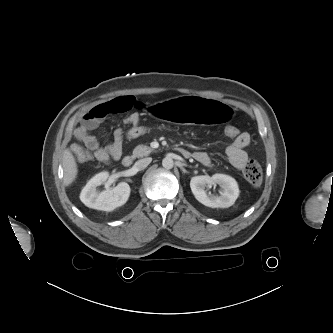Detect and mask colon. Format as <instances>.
I'll use <instances>...</instances> for the list:
<instances>
[{"mask_svg":"<svg viewBox=\"0 0 333 333\" xmlns=\"http://www.w3.org/2000/svg\"><path fill=\"white\" fill-rule=\"evenodd\" d=\"M162 131L163 129H160L155 125L143 124L139 121L129 124L123 128L122 136L123 139L138 140L152 134L161 133ZM225 135L230 139H235L240 135V131L237 127L228 125L225 127ZM73 153L79 162H87L92 159L91 155L81 149H75L73 150ZM243 174L249 184L254 187L259 186L262 182V168L260 164L254 159L247 161L243 168Z\"/></svg>","mask_w":333,"mask_h":333,"instance_id":"obj_1","label":"colon"}]
</instances>
